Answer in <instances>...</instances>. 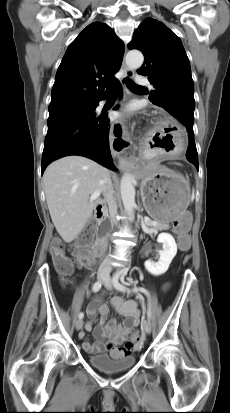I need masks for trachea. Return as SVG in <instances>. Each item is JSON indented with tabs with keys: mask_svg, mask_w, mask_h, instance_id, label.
<instances>
[{
	"mask_svg": "<svg viewBox=\"0 0 230 413\" xmlns=\"http://www.w3.org/2000/svg\"><path fill=\"white\" fill-rule=\"evenodd\" d=\"M126 85L130 90H138V89H143L142 86L137 85L135 82H133L131 79L127 78L126 79ZM111 94H117L116 90H112Z\"/></svg>",
	"mask_w": 230,
	"mask_h": 413,
	"instance_id": "1",
	"label": "trachea"
}]
</instances>
